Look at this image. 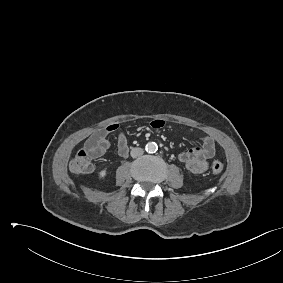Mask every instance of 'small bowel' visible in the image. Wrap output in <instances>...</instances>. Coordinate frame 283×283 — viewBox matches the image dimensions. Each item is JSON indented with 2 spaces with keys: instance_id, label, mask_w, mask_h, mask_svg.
I'll list each match as a JSON object with an SVG mask.
<instances>
[{
  "instance_id": "obj_1",
  "label": "small bowel",
  "mask_w": 283,
  "mask_h": 283,
  "mask_svg": "<svg viewBox=\"0 0 283 283\" xmlns=\"http://www.w3.org/2000/svg\"><path fill=\"white\" fill-rule=\"evenodd\" d=\"M153 128L159 129L164 125L163 120L155 119L151 123ZM117 132V152L119 156L126 157L129 152L128 140L121 126L117 123L106 125L95 131L86 141L85 150L93 158L106 154L111 147L108 135ZM215 155V143L212 137L206 136L199 146L179 154L178 160L192 173H203L209 167V161Z\"/></svg>"
}]
</instances>
